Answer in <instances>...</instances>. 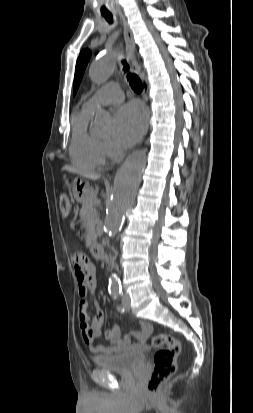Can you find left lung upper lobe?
Segmentation results:
<instances>
[{
  "label": "left lung upper lobe",
  "instance_id": "5c2ea615",
  "mask_svg": "<svg viewBox=\"0 0 253 413\" xmlns=\"http://www.w3.org/2000/svg\"><path fill=\"white\" fill-rule=\"evenodd\" d=\"M90 56H91L90 50L86 49V50H82L80 52V55L77 59L76 69H75V76H74V89H73V94L74 95H75V93H76V91L79 87L80 81H81L82 76H83V72L85 70V67H86L89 59H90Z\"/></svg>",
  "mask_w": 253,
  "mask_h": 413
}]
</instances>
